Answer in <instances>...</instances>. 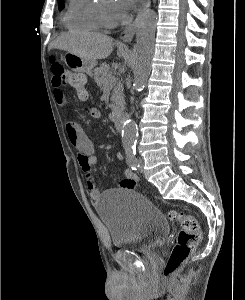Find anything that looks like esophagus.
Returning a JSON list of instances; mask_svg holds the SVG:
<instances>
[{
  "instance_id": "34e87169",
  "label": "esophagus",
  "mask_w": 245,
  "mask_h": 300,
  "mask_svg": "<svg viewBox=\"0 0 245 300\" xmlns=\"http://www.w3.org/2000/svg\"><path fill=\"white\" fill-rule=\"evenodd\" d=\"M150 4H151L150 0H144V2L142 3L141 7L138 10L135 20L124 31L121 32L120 39L122 41L130 42L133 39L138 23L140 21V17L142 13L150 6Z\"/></svg>"
}]
</instances>
